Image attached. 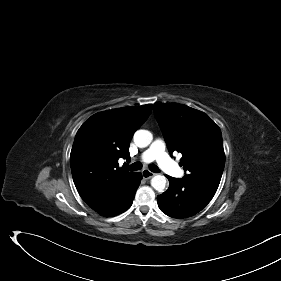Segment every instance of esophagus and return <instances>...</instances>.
Instances as JSON below:
<instances>
[{
  "mask_svg": "<svg viewBox=\"0 0 281 281\" xmlns=\"http://www.w3.org/2000/svg\"><path fill=\"white\" fill-rule=\"evenodd\" d=\"M142 176L144 179H150L152 178L153 176H155V173L151 172L150 170L148 169H144L142 171Z\"/></svg>",
  "mask_w": 281,
  "mask_h": 281,
  "instance_id": "esophagus-1",
  "label": "esophagus"
}]
</instances>
